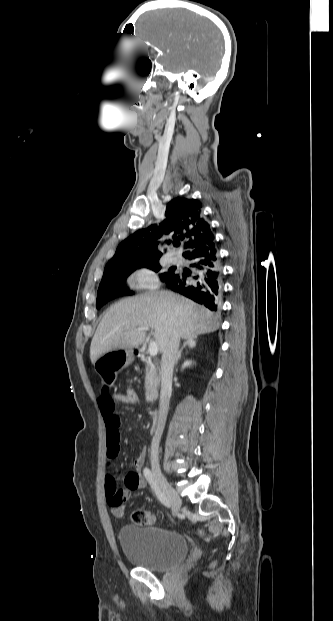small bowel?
Wrapping results in <instances>:
<instances>
[{
  "label": "small bowel",
  "instance_id": "c3829d8e",
  "mask_svg": "<svg viewBox=\"0 0 333 621\" xmlns=\"http://www.w3.org/2000/svg\"><path fill=\"white\" fill-rule=\"evenodd\" d=\"M116 402H122V394L111 395L104 387L98 398V405L106 428L108 466L112 465L119 453L120 419L115 411ZM144 463L145 455L141 453L135 458L133 469L125 475L124 488L119 487L117 477L114 474L108 473L106 475L107 503L111 509L118 506L124 508V503L129 499L132 492L145 487V480L141 473Z\"/></svg>",
  "mask_w": 333,
  "mask_h": 621
}]
</instances>
